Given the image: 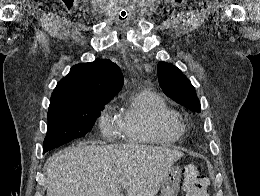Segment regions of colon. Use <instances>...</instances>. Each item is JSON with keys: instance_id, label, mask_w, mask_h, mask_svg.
<instances>
[{"instance_id": "colon-1", "label": "colon", "mask_w": 260, "mask_h": 196, "mask_svg": "<svg viewBox=\"0 0 260 196\" xmlns=\"http://www.w3.org/2000/svg\"><path fill=\"white\" fill-rule=\"evenodd\" d=\"M186 196H207L210 179L195 167H186L183 173Z\"/></svg>"}]
</instances>
